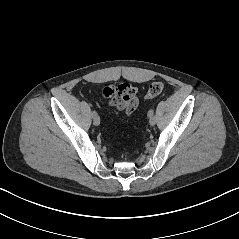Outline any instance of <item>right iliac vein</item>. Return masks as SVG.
Segmentation results:
<instances>
[{
	"mask_svg": "<svg viewBox=\"0 0 239 239\" xmlns=\"http://www.w3.org/2000/svg\"><path fill=\"white\" fill-rule=\"evenodd\" d=\"M93 124H94L95 126H98V125L100 124V118H99L98 115H96V116L93 117Z\"/></svg>",
	"mask_w": 239,
	"mask_h": 239,
	"instance_id": "1",
	"label": "right iliac vein"
}]
</instances>
